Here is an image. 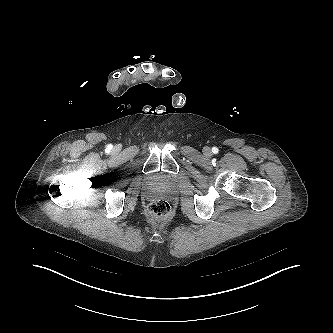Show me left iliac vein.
<instances>
[{
	"instance_id": "obj_1",
	"label": "left iliac vein",
	"mask_w": 333,
	"mask_h": 333,
	"mask_svg": "<svg viewBox=\"0 0 333 333\" xmlns=\"http://www.w3.org/2000/svg\"><path fill=\"white\" fill-rule=\"evenodd\" d=\"M203 152L206 156H211L212 154L211 149L209 147H205Z\"/></svg>"
}]
</instances>
